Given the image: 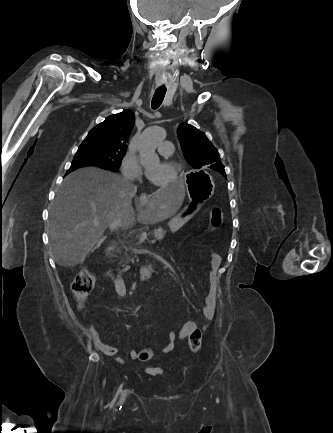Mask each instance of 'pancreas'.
I'll return each mask as SVG.
<instances>
[{"label": "pancreas", "mask_w": 333, "mask_h": 433, "mask_svg": "<svg viewBox=\"0 0 333 433\" xmlns=\"http://www.w3.org/2000/svg\"><path fill=\"white\" fill-rule=\"evenodd\" d=\"M166 231L162 228H158L153 231V236L155 237V240L161 241L165 236Z\"/></svg>", "instance_id": "pancreas-1"}]
</instances>
